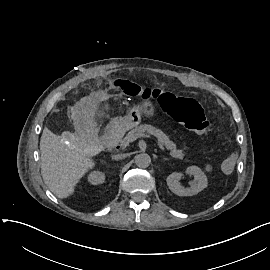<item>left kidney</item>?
Returning a JSON list of instances; mask_svg holds the SVG:
<instances>
[{
	"label": "left kidney",
	"instance_id": "5707ae66",
	"mask_svg": "<svg viewBox=\"0 0 270 270\" xmlns=\"http://www.w3.org/2000/svg\"><path fill=\"white\" fill-rule=\"evenodd\" d=\"M186 173L188 175H194L197 183L193 184L191 188H185V186L179 182L184 173L174 172L167 177V185L173 193L179 196H193L207 187L208 179L200 168L195 166L188 167Z\"/></svg>",
	"mask_w": 270,
	"mask_h": 270
}]
</instances>
